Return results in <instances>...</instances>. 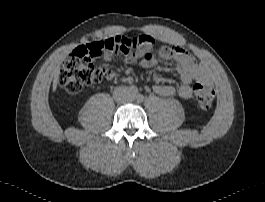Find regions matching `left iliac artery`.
<instances>
[{"mask_svg":"<svg viewBox=\"0 0 265 202\" xmlns=\"http://www.w3.org/2000/svg\"><path fill=\"white\" fill-rule=\"evenodd\" d=\"M143 99H144V96H143V95L139 94V95L137 96V101L142 102Z\"/></svg>","mask_w":265,"mask_h":202,"instance_id":"obj_1","label":"left iliac artery"}]
</instances>
